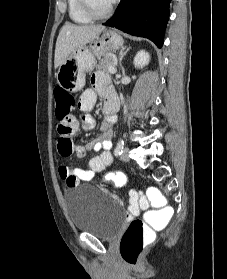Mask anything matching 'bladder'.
Instances as JSON below:
<instances>
[{"mask_svg":"<svg viewBox=\"0 0 227 279\" xmlns=\"http://www.w3.org/2000/svg\"><path fill=\"white\" fill-rule=\"evenodd\" d=\"M64 201L76 230L93 233L99 238H116L124 225L121 205L94 186L67 189Z\"/></svg>","mask_w":227,"mask_h":279,"instance_id":"1","label":"bladder"}]
</instances>
